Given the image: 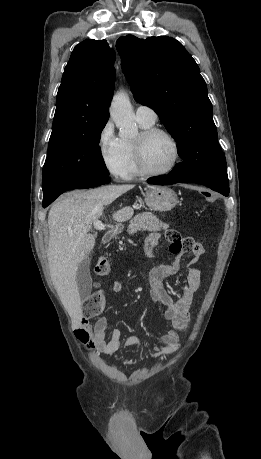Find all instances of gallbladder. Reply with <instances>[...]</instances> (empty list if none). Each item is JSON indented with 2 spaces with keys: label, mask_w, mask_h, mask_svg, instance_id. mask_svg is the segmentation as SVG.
Returning a JSON list of instances; mask_svg holds the SVG:
<instances>
[{
  "label": "gallbladder",
  "mask_w": 261,
  "mask_h": 459,
  "mask_svg": "<svg viewBox=\"0 0 261 459\" xmlns=\"http://www.w3.org/2000/svg\"><path fill=\"white\" fill-rule=\"evenodd\" d=\"M76 282L81 301H85L91 293L92 278L90 275V260L88 257L79 264L76 272Z\"/></svg>",
  "instance_id": "obj_1"
}]
</instances>
